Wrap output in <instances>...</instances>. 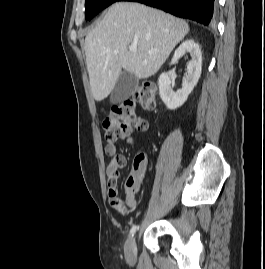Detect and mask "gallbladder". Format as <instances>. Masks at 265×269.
Here are the masks:
<instances>
[{
	"instance_id": "gallbladder-1",
	"label": "gallbladder",
	"mask_w": 265,
	"mask_h": 269,
	"mask_svg": "<svg viewBox=\"0 0 265 269\" xmlns=\"http://www.w3.org/2000/svg\"><path fill=\"white\" fill-rule=\"evenodd\" d=\"M138 86V78L127 71L121 72L110 95L112 104H119L128 99Z\"/></svg>"
}]
</instances>
